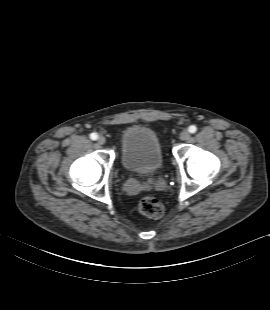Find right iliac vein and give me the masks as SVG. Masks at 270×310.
I'll use <instances>...</instances> for the list:
<instances>
[{"mask_svg": "<svg viewBox=\"0 0 270 310\" xmlns=\"http://www.w3.org/2000/svg\"><path fill=\"white\" fill-rule=\"evenodd\" d=\"M98 143H99L100 145L105 144V143H106V138H105L104 136H100V137L98 138Z\"/></svg>", "mask_w": 270, "mask_h": 310, "instance_id": "1", "label": "right iliac vein"}]
</instances>
